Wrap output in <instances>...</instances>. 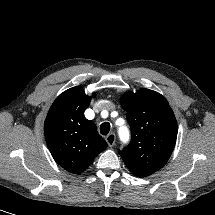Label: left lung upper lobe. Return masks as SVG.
I'll use <instances>...</instances> for the list:
<instances>
[{"label": "left lung upper lobe", "instance_id": "5c2ea615", "mask_svg": "<svg viewBox=\"0 0 215 215\" xmlns=\"http://www.w3.org/2000/svg\"><path fill=\"white\" fill-rule=\"evenodd\" d=\"M131 126L130 144L120 151L126 166L137 177H146L168 161L177 138V122L167 100L142 88L120 99Z\"/></svg>", "mask_w": 215, "mask_h": 215}]
</instances>
